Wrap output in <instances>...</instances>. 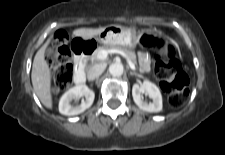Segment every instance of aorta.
<instances>
[{
    "label": "aorta",
    "instance_id": "obj_1",
    "mask_svg": "<svg viewBox=\"0 0 225 155\" xmlns=\"http://www.w3.org/2000/svg\"><path fill=\"white\" fill-rule=\"evenodd\" d=\"M109 72L112 76L119 77L122 76L124 72V67L121 63H112L109 66Z\"/></svg>",
    "mask_w": 225,
    "mask_h": 155
}]
</instances>
